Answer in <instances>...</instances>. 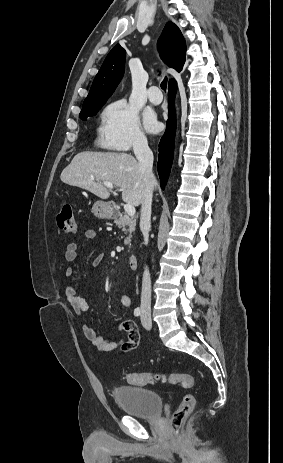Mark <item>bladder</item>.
Here are the masks:
<instances>
[{
    "instance_id": "bladder-1",
    "label": "bladder",
    "mask_w": 283,
    "mask_h": 463,
    "mask_svg": "<svg viewBox=\"0 0 283 463\" xmlns=\"http://www.w3.org/2000/svg\"><path fill=\"white\" fill-rule=\"evenodd\" d=\"M113 395L122 411L131 416L154 419L162 412V399L153 390L124 386L116 388Z\"/></svg>"
}]
</instances>
